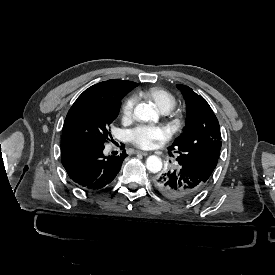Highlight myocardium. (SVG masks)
I'll return each instance as SVG.
<instances>
[{
  "mask_svg": "<svg viewBox=\"0 0 275 275\" xmlns=\"http://www.w3.org/2000/svg\"><path fill=\"white\" fill-rule=\"evenodd\" d=\"M165 114L168 115L172 119L171 124L173 125V127L177 128L180 123V118H181L179 112L177 110H175L174 108H171L168 111H166Z\"/></svg>",
  "mask_w": 275,
  "mask_h": 275,
  "instance_id": "myocardium-1",
  "label": "myocardium"
}]
</instances>
